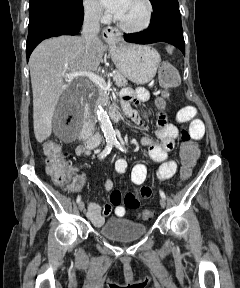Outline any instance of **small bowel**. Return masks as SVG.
<instances>
[{
    "mask_svg": "<svg viewBox=\"0 0 240 288\" xmlns=\"http://www.w3.org/2000/svg\"><path fill=\"white\" fill-rule=\"evenodd\" d=\"M121 106L124 113L129 116L135 123L144 126V121L135 109V106L149 100L150 94L145 88H124L120 94ZM189 123L188 132L193 140H199L203 137L205 132L204 123L198 117V111L193 106H185L179 109L175 115V123L168 120L167 114L163 109H157V129L156 138L143 137L141 143L148 148L150 158L160 163L157 170V177L159 180H167L171 178L177 170V164L173 160L168 159V153L174 147L178 136L179 130L176 124ZM92 149L84 144L76 147L75 153L77 156H89ZM117 174H124L128 169V163L125 159L119 158L114 166ZM79 168L73 167L70 172L72 175L71 190L78 192L83 184L84 177L78 174ZM147 169L144 164H136L131 171V180L135 185H142L146 180ZM105 190L112 191L111 203L115 207L114 213L117 217H124L126 215V208L121 205L122 193L119 190H113V182L110 179L105 181ZM139 195L143 199H148L152 195V189L149 186H142ZM112 211L111 205H104L100 207L94 202L88 203L87 217L94 226H101L105 218L110 215Z\"/></svg>",
    "mask_w": 240,
    "mask_h": 288,
    "instance_id": "c3829d8e",
    "label": "small bowel"
}]
</instances>
